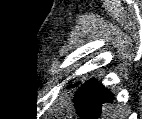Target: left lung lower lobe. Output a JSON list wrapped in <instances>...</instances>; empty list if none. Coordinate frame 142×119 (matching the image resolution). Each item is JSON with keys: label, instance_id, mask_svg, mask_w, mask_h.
<instances>
[{"label": "left lung lower lobe", "instance_id": "obj_1", "mask_svg": "<svg viewBox=\"0 0 142 119\" xmlns=\"http://www.w3.org/2000/svg\"><path fill=\"white\" fill-rule=\"evenodd\" d=\"M113 94L96 80L85 82L74 95V106L82 119H99L104 103H112Z\"/></svg>", "mask_w": 142, "mask_h": 119}]
</instances>
